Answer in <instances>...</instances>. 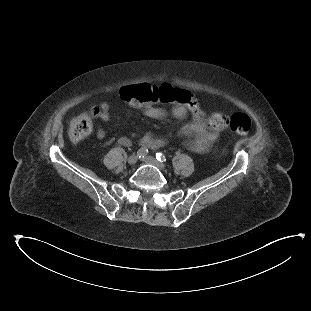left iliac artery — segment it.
Segmentation results:
<instances>
[{"label": "left iliac artery", "mask_w": 311, "mask_h": 311, "mask_svg": "<svg viewBox=\"0 0 311 311\" xmlns=\"http://www.w3.org/2000/svg\"><path fill=\"white\" fill-rule=\"evenodd\" d=\"M156 158L160 162H166V160H167L166 156L161 152L156 153Z\"/></svg>", "instance_id": "left-iliac-artery-1"}]
</instances>
